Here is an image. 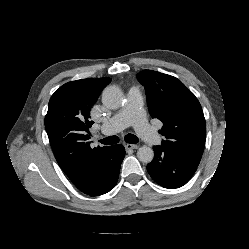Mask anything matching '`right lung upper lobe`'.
I'll use <instances>...</instances> for the list:
<instances>
[{"label":"right lung upper lobe","mask_w":249,"mask_h":249,"mask_svg":"<svg viewBox=\"0 0 249 249\" xmlns=\"http://www.w3.org/2000/svg\"><path fill=\"white\" fill-rule=\"evenodd\" d=\"M111 82L108 77L71 81L50 98L45 128L60 168L78 188L110 157V147H90V109L101 91Z\"/></svg>","instance_id":"1"}]
</instances>
